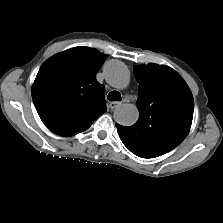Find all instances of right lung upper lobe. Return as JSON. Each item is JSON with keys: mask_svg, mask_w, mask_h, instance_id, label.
I'll list each match as a JSON object with an SVG mask.
<instances>
[{"mask_svg": "<svg viewBox=\"0 0 223 223\" xmlns=\"http://www.w3.org/2000/svg\"><path fill=\"white\" fill-rule=\"evenodd\" d=\"M108 55L74 47L43 63L32 86L36 110L52 132L69 137L88 129L106 112L104 86L96 73Z\"/></svg>", "mask_w": 223, "mask_h": 223, "instance_id": "cb5924a9", "label": "right lung upper lobe"}]
</instances>
